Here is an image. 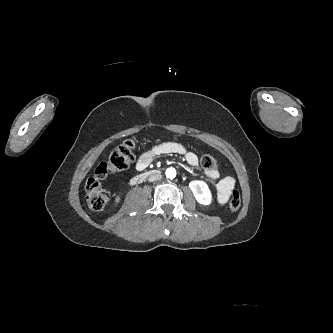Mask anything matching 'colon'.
I'll use <instances>...</instances> for the list:
<instances>
[{
	"mask_svg": "<svg viewBox=\"0 0 333 333\" xmlns=\"http://www.w3.org/2000/svg\"><path fill=\"white\" fill-rule=\"evenodd\" d=\"M134 140H126L119 145L109 156L108 160L101 162L95 169L93 175L85 184L86 200L93 211H101L109 202V194L101 187L100 181L110 173L120 172L128 169L134 161ZM201 166L205 170H215L217 162L209 154L201 158ZM241 206V197L238 191H233L229 201L231 210H238Z\"/></svg>",
	"mask_w": 333,
	"mask_h": 333,
	"instance_id": "1",
	"label": "colon"
}]
</instances>
